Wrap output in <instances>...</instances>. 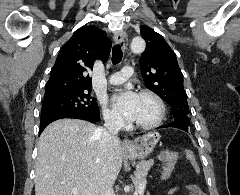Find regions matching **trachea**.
<instances>
[{
  "label": "trachea",
  "mask_w": 240,
  "mask_h": 195,
  "mask_svg": "<svg viewBox=\"0 0 240 195\" xmlns=\"http://www.w3.org/2000/svg\"><path fill=\"white\" fill-rule=\"evenodd\" d=\"M122 45H114L112 49V63L113 65H117L121 62L123 57V52L121 50Z\"/></svg>",
  "instance_id": "obj_1"
}]
</instances>
